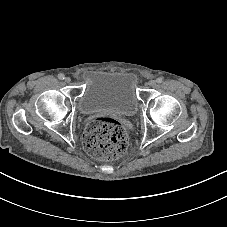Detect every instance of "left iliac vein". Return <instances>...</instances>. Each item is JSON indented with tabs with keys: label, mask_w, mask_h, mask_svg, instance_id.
I'll return each instance as SVG.
<instances>
[{
	"label": "left iliac vein",
	"mask_w": 227,
	"mask_h": 227,
	"mask_svg": "<svg viewBox=\"0 0 227 227\" xmlns=\"http://www.w3.org/2000/svg\"><path fill=\"white\" fill-rule=\"evenodd\" d=\"M148 85H149L150 87L155 86V85H156V81H155V80H150V81L148 82Z\"/></svg>",
	"instance_id": "4c4485c4"
}]
</instances>
